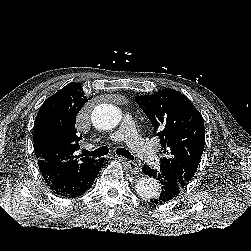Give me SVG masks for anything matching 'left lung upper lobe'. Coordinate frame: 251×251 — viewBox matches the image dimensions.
<instances>
[{"label":"left lung upper lobe","instance_id":"obj_1","mask_svg":"<svg viewBox=\"0 0 251 251\" xmlns=\"http://www.w3.org/2000/svg\"><path fill=\"white\" fill-rule=\"evenodd\" d=\"M135 100L160 138V166L188 183L198 168L205 145L201 114L186 96L170 88L136 96Z\"/></svg>","mask_w":251,"mask_h":251}]
</instances>
